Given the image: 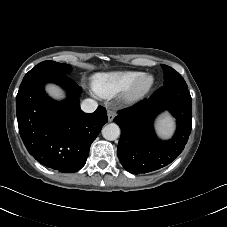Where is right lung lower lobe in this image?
I'll return each mask as SVG.
<instances>
[{
    "label": "right lung lower lobe",
    "mask_w": 227,
    "mask_h": 227,
    "mask_svg": "<svg viewBox=\"0 0 227 227\" xmlns=\"http://www.w3.org/2000/svg\"><path fill=\"white\" fill-rule=\"evenodd\" d=\"M54 82L68 93L66 100L49 98L44 84ZM81 88L64 74L40 73L24 77L16 96L20 136L28 152L42 165L63 173L80 170L107 112L99 106L94 113L80 109Z\"/></svg>",
    "instance_id": "98d812e1"
}]
</instances>
